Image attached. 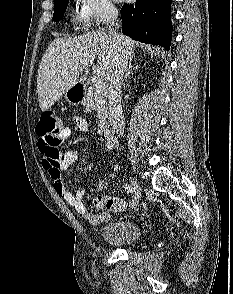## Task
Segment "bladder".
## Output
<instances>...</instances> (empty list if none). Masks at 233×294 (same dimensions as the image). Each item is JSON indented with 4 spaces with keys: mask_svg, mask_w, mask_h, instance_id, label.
<instances>
[{
    "mask_svg": "<svg viewBox=\"0 0 233 294\" xmlns=\"http://www.w3.org/2000/svg\"><path fill=\"white\" fill-rule=\"evenodd\" d=\"M104 243L115 247H129L143 237L142 227L129 220H114L107 223L100 231Z\"/></svg>",
    "mask_w": 233,
    "mask_h": 294,
    "instance_id": "bladder-1",
    "label": "bladder"
}]
</instances>
